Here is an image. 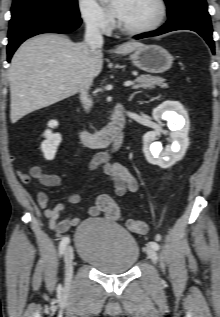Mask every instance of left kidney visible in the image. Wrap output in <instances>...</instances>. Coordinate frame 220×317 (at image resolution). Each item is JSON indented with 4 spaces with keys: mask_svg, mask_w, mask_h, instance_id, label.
<instances>
[{
    "mask_svg": "<svg viewBox=\"0 0 220 317\" xmlns=\"http://www.w3.org/2000/svg\"><path fill=\"white\" fill-rule=\"evenodd\" d=\"M152 115L158 122L167 121L172 144L162 152L161 143L155 142L157 132L150 131L143 136V152L149 163L168 168L184 156L189 145L188 114L179 102L165 101L153 110Z\"/></svg>",
    "mask_w": 220,
    "mask_h": 317,
    "instance_id": "1",
    "label": "left kidney"
}]
</instances>
